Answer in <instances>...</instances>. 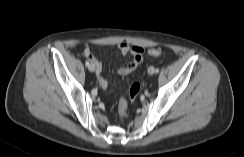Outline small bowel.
Returning a JSON list of instances; mask_svg holds the SVG:
<instances>
[{"mask_svg":"<svg viewBox=\"0 0 244 157\" xmlns=\"http://www.w3.org/2000/svg\"><path fill=\"white\" fill-rule=\"evenodd\" d=\"M118 49L123 55L131 54L132 56L131 61L126 66L120 67L116 70L120 75H127L133 72L142 62V54L144 50L140 46H130L127 43L119 44ZM83 54L94 65L99 84L102 87H106L108 83L102 74V63L95 57L90 48H85Z\"/></svg>","mask_w":244,"mask_h":157,"instance_id":"obj_1","label":"small bowel"}]
</instances>
